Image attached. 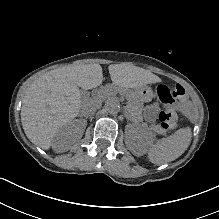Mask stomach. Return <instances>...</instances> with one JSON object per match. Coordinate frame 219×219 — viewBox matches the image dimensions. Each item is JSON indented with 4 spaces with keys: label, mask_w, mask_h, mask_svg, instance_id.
<instances>
[{
    "label": "stomach",
    "mask_w": 219,
    "mask_h": 219,
    "mask_svg": "<svg viewBox=\"0 0 219 219\" xmlns=\"http://www.w3.org/2000/svg\"><path fill=\"white\" fill-rule=\"evenodd\" d=\"M135 93L137 94V96L139 98H141L144 101H147L149 99V97L151 96V90L150 88L143 86L138 88Z\"/></svg>",
    "instance_id": "stomach-1"
}]
</instances>
